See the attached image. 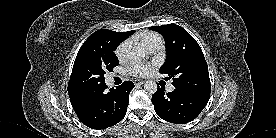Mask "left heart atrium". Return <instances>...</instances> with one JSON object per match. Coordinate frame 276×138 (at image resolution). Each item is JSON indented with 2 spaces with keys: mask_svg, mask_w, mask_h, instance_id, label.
Here are the masks:
<instances>
[{
  "mask_svg": "<svg viewBox=\"0 0 276 138\" xmlns=\"http://www.w3.org/2000/svg\"><path fill=\"white\" fill-rule=\"evenodd\" d=\"M150 66L146 64H133L129 68V72L136 76H145L150 72Z\"/></svg>",
  "mask_w": 276,
  "mask_h": 138,
  "instance_id": "1",
  "label": "left heart atrium"
}]
</instances>
